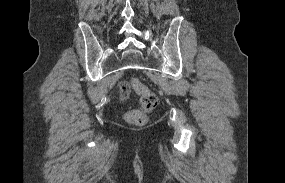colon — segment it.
<instances>
[{"instance_id": "colon-1", "label": "colon", "mask_w": 285, "mask_h": 183, "mask_svg": "<svg viewBox=\"0 0 285 183\" xmlns=\"http://www.w3.org/2000/svg\"><path fill=\"white\" fill-rule=\"evenodd\" d=\"M133 90L140 96L141 109L130 110L126 113V120L128 123L135 126L145 125L148 121V113L153 111L157 104V95L152 92L147 86L137 79L131 81Z\"/></svg>"}]
</instances>
